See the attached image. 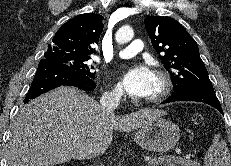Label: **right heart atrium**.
Returning a JSON list of instances; mask_svg holds the SVG:
<instances>
[{"mask_svg": "<svg viewBox=\"0 0 231 166\" xmlns=\"http://www.w3.org/2000/svg\"><path fill=\"white\" fill-rule=\"evenodd\" d=\"M106 95L111 99H119L121 97V90L118 86H114L106 92Z\"/></svg>", "mask_w": 231, "mask_h": 166, "instance_id": "obj_1", "label": "right heart atrium"}]
</instances>
